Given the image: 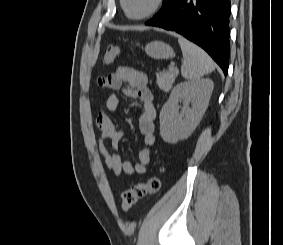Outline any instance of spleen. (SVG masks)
<instances>
[{
	"label": "spleen",
	"mask_w": 283,
	"mask_h": 245,
	"mask_svg": "<svg viewBox=\"0 0 283 245\" xmlns=\"http://www.w3.org/2000/svg\"><path fill=\"white\" fill-rule=\"evenodd\" d=\"M178 42L184 57L181 74L185 79L199 80L215 69L211 57L199 46L181 36L178 38Z\"/></svg>",
	"instance_id": "1"
}]
</instances>
